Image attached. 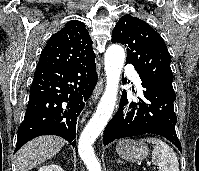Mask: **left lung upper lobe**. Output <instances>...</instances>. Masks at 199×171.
<instances>
[{"label":"left lung upper lobe","mask_w":199,"mask_h":171,"mask_svg":"<svg viewBox=\"0 0 199 171\" xmlns=\"http://www.w3.org/2000/svg\"><path fill=\"white\" fill-rule=\"evenodd\" d=\"M113 43L127 47L126 64H133L142 81L175 94L171 57L162 37L145 21L125 15L112 32Z\"/></svg>","instance_id":"1"}]
</instances>
